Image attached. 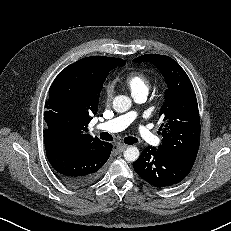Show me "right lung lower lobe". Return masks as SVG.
I'll return each mask as SVG.
<instances>
[{
    "mask_svg": "<svg viewBox=\"0 0 231 231\" xmlns=\"http://www.w3.org/2000/svg\"><path fill=\"white\" fill-rule=\"evenodd\" d=\"M44 142L47 158L57 176L74 188L87 186L96 180L112 150V144L107 142L89 151L68 149L50 138L44 139Z\"/></svg>",
    "mask_w": 231,
    "mask_h": 231,
    "instance_id": "right-lung-lower-lobe-1",
    "label": "right lung lower lobe"
}]
</instances>
